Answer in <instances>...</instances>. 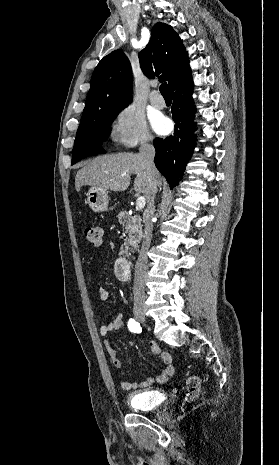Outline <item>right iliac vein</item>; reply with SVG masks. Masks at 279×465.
I'll use <instances>...</instances> for the list:
<instances>
[{
    "label": "right iliac vein",
    "mask_w": 279,
    "mask_h": 465,
    "mask_svg": "<svg viewBox=\"0 0 279 465\" xmlns=\"http://www.w3.org/2000/svg\"><path fill=\"white\" fill-rule=\"evenodd\" d=\"M134 315L136 319L141 323H146V315L144 309L139 307L134 310Z\"/></svg>",
    "instance_id": "right-iliac-vein-1"
}]
</instances>
